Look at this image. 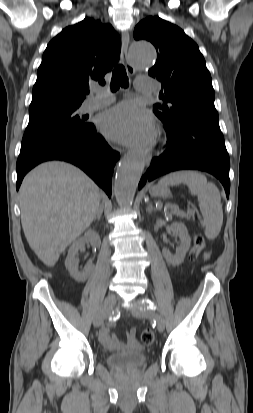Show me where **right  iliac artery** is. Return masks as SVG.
I'll use <instances>...</instances> for the list:
<instances>
[{
  "label": "right iliac artery",
  "instance_id": "right-iliac-artery-1",
  "mask_svg": "<svg viewBox=\"0 0 253 413\" xmlns=\"http://www.w3.org/2000/svg\"><path fill=\"white\" fill-rule=\"evenodd\" d=\"M118 316H119V315L114 316V317H113V320H115L116 318H118ZM110 320H112V317L110 318Z\"/></svg>",
  "mask_w": 253,
  "mask_h": 413
}]
</instances>
